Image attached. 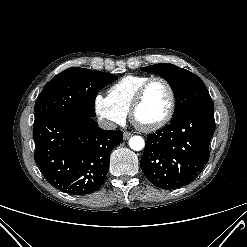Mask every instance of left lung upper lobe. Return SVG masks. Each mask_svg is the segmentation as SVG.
<instances>
[{
  "instance_id": "left-lung-upper-lobe-1",
  "label": "left lung upper lobe",
  "mask_w": 247,
  "mask_h": 247,
  "mask_svg": "<svg viewBox=\"0 0 247 247\" xmlns=\"http://www.w3.org/2000/svg\"><path fill=\"white\" fill-rule=\"evenodd\" d=\"M142 70L158 74L169 82L175 95V113L172 120L191 112L214 113L209 92L197 75L170 63L154 64Z\"/></svg>"
}]
</instances>
